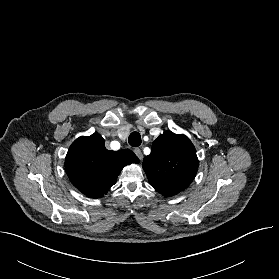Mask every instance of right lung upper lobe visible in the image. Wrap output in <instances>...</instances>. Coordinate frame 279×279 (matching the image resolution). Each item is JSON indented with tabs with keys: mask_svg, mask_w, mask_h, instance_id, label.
Returning a JSON list of instances; mask_svg holds the SVG:
<instances>
[{
	"mask_svg": "<svg viewBox=\"0 0 279 279\" xmlns=\"http://www.w3.org/2000/svg\"><path fill=\"white\" fill-rule=\"evenodd\" d=\"M98 133L77 138L69 147L65 169L72 184L91 198L102 197L124 166L138 163L130 150L109 151Z\"/></svg>",
	"mask_w": 279,
	"mask_h": 279,
	"instance_id": "obj_1",
	"label": "right lung upper lobe"
}]
</instances>
